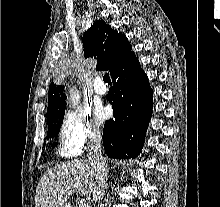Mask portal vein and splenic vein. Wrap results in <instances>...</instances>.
Masks as SVG:
<instances>
[{
    "instance_id": "18ae733b",
    "label": "portal vein and splenic vein",
    "mask_w": 220,
    "mask_h": 207,
    "mask_svg": "<svg viewBox=\"0 0 220 207\" xmlns=\"http://www.w3.org/2000/svg\"><path fill=\"white\" fill-rule=\"evenodd\" d=\"M80 207H89V204L86 202L81 201L80 202Z\"/></svg>"
}]
</instances>
